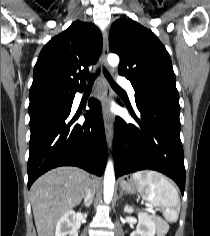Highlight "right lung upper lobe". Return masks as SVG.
Instances as JSON below:
<instances>
[{
	"mask_svg": "<svg viewBox=\"0 0 210 236\" xmlns=\"http://www.w3.org/2000/svg\"><path fill=\"white\" fill-rule=\"evenodd\" d=\"M102 36L92 23L75 21L42 49L34 67L29 98L43 89L74 93L85 87L80 71L89 73L101 53ZM83 68V70H81Z\"/></svg>",
	"mask_w": 210,
	"mask_h": 236,
	"instance_id": "right-lung-upper-lobe-1",
	"label": "right lung upper lobe"
}]
</instances>
